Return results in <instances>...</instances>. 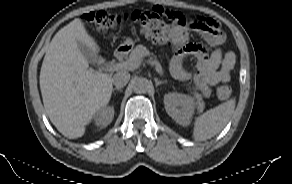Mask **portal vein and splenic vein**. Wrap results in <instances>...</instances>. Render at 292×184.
I'll return each instance as SVG.
<instances>
[{"label": "portal vein and splenic vein", "mask_w": 292, "mask_h": 184, "mask_svg": "<svg viewBox=\"0 0 292 184\" xmlns=\"http://www.w3.org/2000/svg\"><path fill=\"white\" fill-rule=\"evenodd\" d=\"M152 64L155 66L156 68V71L159 73V74H163V69H162V66L161 64L159 63V61L157 60H153L152 61ZM140 65V63H136L130 59H128L127 61H123V62H120V63H116V64H108L106 66V69L107 70H117V69H121V68H137L138 66Z\"/></svg>", "instance_id": "portal-vein-and-splenic-vein-1"}]
</instances>
